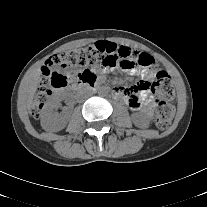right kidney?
Listing matches in <instances>:
<instances>
[{
  "label": "right kidney",
  "mask_w": 207,
  "mask_h": 207,
  "mask_svg": "<svg viewBox=\"0 0 207 207\" xmlns=\"http://www.w3.org/2000/svg\"><path fill=\"white\" fill-rule=\"evenodd\" d=\"M63 99L64 95L55 94L47 101L41 114V126L44 130L59 131L67 125V116L55 112V109Z\"/></svg>",
  "instance_id": "obj_1"
}]
</instances>
